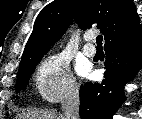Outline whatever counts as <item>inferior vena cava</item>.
<instances>
[{
	"label": "inferior vena cava",
	"mask_w": 142,
	"mask_h": 119,
	"mask_svg": "<svg viewBox=\"0 0 142 119\" xmlns=\"http://www.w3.org/2000/svg\"><path fill=\"white\" fill-rule=\"evenodd\" d=\"M79 107V90L76 86H73L70 88L61 102L64 119H80Z\"/></svg>",
	"instance_id": "602c4592"
}]
</instances>
